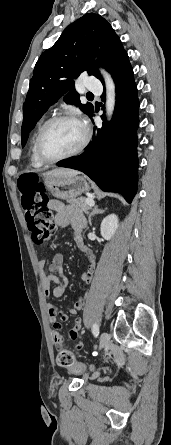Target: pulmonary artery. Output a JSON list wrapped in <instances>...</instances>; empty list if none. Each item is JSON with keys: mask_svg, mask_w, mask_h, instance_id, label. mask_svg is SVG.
<instances>
[{"mask_svg": "<svg viewBox=\"0 0 171 445\" xmlns=\"http://www.w3.org/2000/svg\"><path fill=\"white\" fill-rule=\"evenodd\" d=\"M87 89L90 92H100L102 90V84L97 78L91 77L87 80Z\"/></svg>", "mask_w": 171, "mask_h": 445, "instance_id": "pulmonary-artery-1", "label": "pulmonary artery"}]
</instances>
